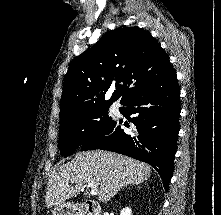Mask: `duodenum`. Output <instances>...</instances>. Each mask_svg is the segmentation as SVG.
I'll return each mask as SVG.
<instances>
[{
	"mask_svg": "<svg viewBox=\"0 0 221 215\" xmlns=\"http://www.w3.org/2000/svg\"><path fill=\"white\" fill-rule=\"evenodd\" d=\"M82 215H101V208L99 204L93 201L84 203L81 207Z\"/></svg>",
	"mask_w": 221,
	"mask_h": 215,
	"instance_id": "1",
	"label": "duodenum"
}]
</instances>
